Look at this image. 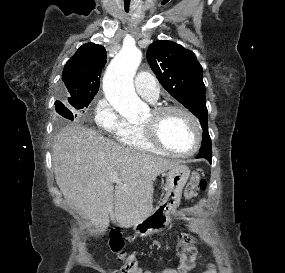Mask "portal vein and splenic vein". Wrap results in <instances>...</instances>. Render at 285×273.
<instances>
[{
  "label": "portal vein and splenic vein",
  "instance_id": "portal-vein-and-splenic-vein-1",
  "mask_svg": "<svg viewBox=\"0 0 285 273\" xmlns=\"http://www.w3.org/2000/svg\"><path fill=\"white\" fill-rule=\"evenodd\" d=\"M111 182L117 183L120 181V179L118 178V174L116 172L113 173V175L110 178Z\"/></svg>",
  "mask_w": 285,
  "mask_h": 273
}]
</instances>
